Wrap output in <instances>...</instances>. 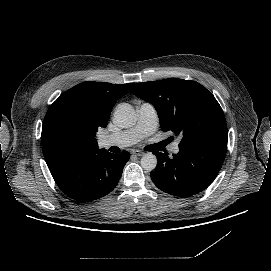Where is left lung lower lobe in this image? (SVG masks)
Returning <instances> with one entry per match:
<instances>
[{
  "label": "left lung lower lobe",
  "mask_w": 271,
  "mask_h": 271,
  "mask_svg": "<svg viewBox=\"0 0 271 271\" xmlns=\"http://www.w3.org/2000/svg\"><path fill=\"white\" fill-rule=\"evenodd\" d=\"M173 158L154 152L157 168L151 179L162 191L178 197H189L206 189L221 169L227 145L208 142L199 146H180Z\"/></svg>",
  "instance_id": "0a47b994"
}]
</instances>
